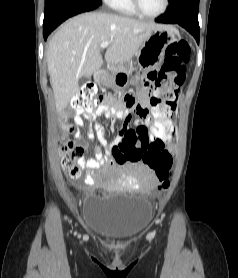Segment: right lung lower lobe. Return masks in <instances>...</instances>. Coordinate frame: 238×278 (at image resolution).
Returning a JSON list of instances; mask_svg holds the SVG:
<instances>
[{"instance_id":"1","label":"right lung lower lobe","mask_w":238,"mask_h":278,"mask_svg":"<svg viewBox=\"0 0 238 278\" xmlns=\"http://www.w3.org/2000/svg\"><path fill=\"white\" fill-rule=\"evenodd\" d=\"M100 4L101 0H45L44 39L66 19L93 10Z\"/></svg>"}]
</instances>
